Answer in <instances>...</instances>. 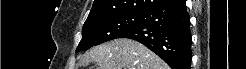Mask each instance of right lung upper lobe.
Masks as SVG:
<instances>
[{"mask_svg": "<svg viewBox=\"0 0 246 69\" xmlns=\"http://www.w3.org/2000/svg\"><path fill=\"white\" fill-rule=\"evenodd\" d=\"M165 0H94L86 21L120 14H142Z\"/></svg>", "mask_w": 246, "mask_h": 69, "instance_id": "cb5924a9", "label": "right lung upper lobe"}]
</instances>
